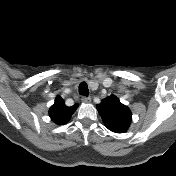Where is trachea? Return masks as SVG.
<instances>
[{
    "instance_id": "trachea-1",
    "label": "trachea",
    "mask_w": 176,
    "mask_h": 176,
    "mask_svg": "<svg viewBox=\"0 0 176 176\" xmlns=\"http://www.w3.org/2000/svg\"><path fill=\"white\" fill-rule=\"evenodd\" d=\"M79 93L83 96H88L89 94V89H88V86H87V83L86 82H82L80 83L79 85Z\"/></svg>"
}]
</instances>
